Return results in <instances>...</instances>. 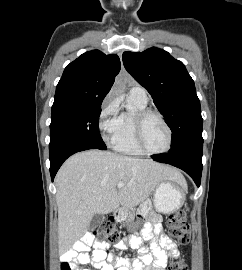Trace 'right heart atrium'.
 I'll use <instances>...</instances> for the list:
<instances>
[{
    "mask_svg": "<svg viewBox=\"0 0 242 270\" xmlns=\"http://www.w3.org/2000/svg\"><path fill=\"white\" fill-rule=\"evenodd\" d=\"M119 119V103L115 97L109 95L100 111L98 127L103 139L108 142L113 136Z\"/></svg>",
    "mask_w": 242,
    "mask_h": 270,
    "instance_id": "obj_1",
    "label": "right heart atrium"
}]
</instances>
